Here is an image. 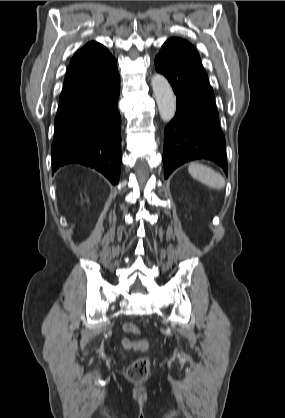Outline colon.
Instances as JSON below:
<instances>
[{"instance_id":"5ec220e1","label":"colon","mask_w":285,"mask_h":418,"mask_svg":"<svg viewBox=\"0 0 285 418\" xmlns=\"http://www.w3.org/2000/svg\"><path fill=\"white\" fill-rule=\"evenodd\" d=\"M124 331L127 333L138 335L140 334V330L133 324L126 323L124 325ZM141 348H147V342L145 340H141ZM124 344H129L128 340H124ZM150 360L147 357L136 359L127 369V377L132 382H141L146 379L150 373Z\"/></svg>"}]
</instances>
